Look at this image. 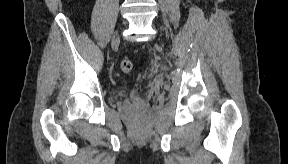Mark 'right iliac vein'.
I'll return each mask as SVG.
<instances>
[{
    "label": "right iliac vein",
    "mask_w": 288,
    "mask_h": 164,
    "mask_svg": "<svg viewBox=\"0 0 288 164\" xmlns=\"http://www.w3.org/2000/svg\"><path fill=\"white\" fill-rule=\"evenodd\" d=\"M117 39H118V35L116 36L115 40H117Z\"/></svg>",
    "instance_id": "right-iliac-vein-1"
}]
</instances>
